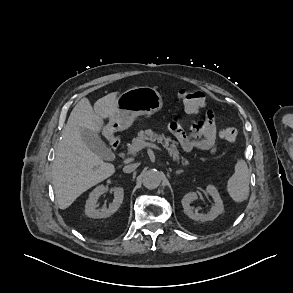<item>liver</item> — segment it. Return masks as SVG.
Segmentation results:
<instances>
[{
	"instance_id": "liver-1",
	"label": "liver",
	"mask_w": 293,
	"mask_h": 293,
	"mask_svg": "<svg viewBox=\"0 0 293 293\" xmlns=\"http://www.w3.org/2000/svg\"><path fill=\"white\" fill-rule=\"evenodd\" d=\"M117 95L114 92L98 99L94 108L87 98H83L73 108L58 143L51 171L60 209L68 208L85 191L115 173L113 164L103 162L86 145L82 129L96 135L99 132L107 134L103 119H110L116 112Z\"/></svg>"
}]
</instances>
